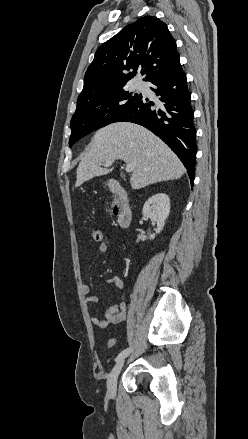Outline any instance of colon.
Segmentation results:
<instances>
[{
	"label": "colon",
	"mask_w": 248,
	"mask_h": 439,
	"mask_svg": "<svg viewBox=\"0 0 248 439\" xmlns=\"http://www.w3.org/2000/svg\"><path fill=\"white\" fill-rule=\"evenodd\" d=\"M91 237L95 242L101 243L103 240V232L99 228H93L91 230ZM109 346H113L115 342L113 340L109 341Z\"/></svg>",
	"instance_id": "5ec220e1"
}]
</instances>
